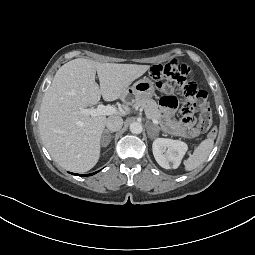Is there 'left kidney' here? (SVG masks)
I'll return each instance as SVG.
<instances>
[{"mask_svg":"<svg viewBox=\"0 0 255 255\" xmlns=\"http://www.w3.org/2000/svg\"><path fill=\"white\" fill-rule=\"evenodd\" d=\"M157 163L165 169H176L188 150L185 142L168 138H157L152 145Z\"/></svg>","mask_w":255,"mask_h":255,"instance_id":"5707ae66","label":"left kidney"}]
</instances>
